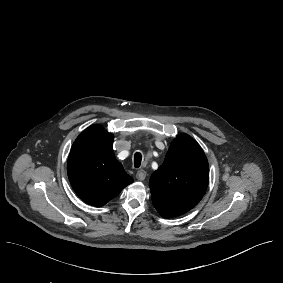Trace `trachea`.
<instances>
[{
	"label": "trachea",
	"instance_id": "trachea-1",
	"mask_svg": "<svg viewBox=\"0 0 283 283\" xmlns=\"http://www.w3.org/2000/svg\"><path fill=\"white\" fill-rule=\"evenodd\" d=\"M142 155L140 152L135 153L134 155V167L139 168L141 166Z\"/></svg>",
	"mask_w": 283,
	"mask_h": 283
}]
</instances>
